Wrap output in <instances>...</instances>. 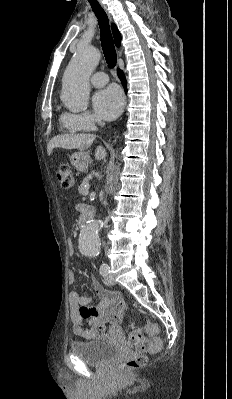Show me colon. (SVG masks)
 Instances as JSON below:
<instances>
[{
    "label": "colon",
    "mask_w": 232,
    "mask_h": 399,
    "mask_svg": "<svg viewBox=\"0 0 232 399\" xmlns=\"http://www.w3.org/2000/svg\"><path fill=\"white\" fill-rule=\"evenodd\" d=\"M69 163H56V182L62 186L75 185L73 171H66ZM157 321H147L146 326H138V330H130V340H121L123 353H146V341H150L151 328H157ZM145 365V358L139 355H122L120 374H133V368Z\"/></svg>",
    "instance_id": "5ec220e1"
}]
</instances>
